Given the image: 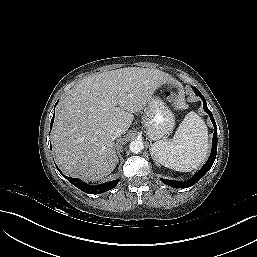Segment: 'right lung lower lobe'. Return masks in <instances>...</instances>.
<instances>
[{
  "instance_id": "1",
  "label": "right lung lower lobe",
  "mask_w": 257,
  "mask_h": 257,
  "mask_svg": "<svg viewBox=\"0 0 257 257\" xmlns=\"http://www.w3.org/2000/svg\"><path fill=\"white\" fill-rule=\"evenodd\" d=\"M53 121H54V115H53V118L51 120L50 128H52ZM57 169L59 170V168H57ZM59 172L61 173L60 170H59ZM64 177L69 182H71L74 186H76L78 189L82 190L85 193H89V194H100L102 192H105V191H108L110 189H113L117 185V183L119 181L117 179V180H113V181H109V182L103 183L101 185L92 186V185H88V184L84 183L83 181H81L80 179H77V178H71V177H67V176H64Z\"/></svg>"
}]
</instances>
